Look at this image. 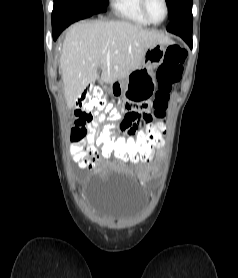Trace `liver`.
<instances>
[{"instance_id": "1", "label": "liver", "mask_w": 238, "mask_h": 278, "mask_svg": "<svg viewBox=\"0 0 238 278\" xmlns=\"http://www.w3.org/2000/svg\"><path fill=\"white\" fill-rule=\"evenodd\" d=\"M170 39L155 30L128 21H81L66 33L59 69L64 83L68 108H72L82 92L99 77L112 84L139 69L147 49L168 44Z\"/></svg>"}]
</instances>
